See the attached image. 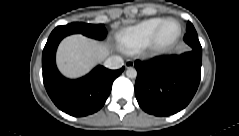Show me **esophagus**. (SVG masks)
Returning <instances> with one entry per match:
<instances>
[{
  "mask_svg": "<svg viewBox=\"0 0 239 136\" xmlns=\"http://www.w3.org/2000/svg\"><path fill=\"white\" fill-rule=\"evenodd\" d=\"M132 66H134V62L132 60H127L126 63H125V67L129 68V67H132Z\"/></svg>",
  "mask_w": 239,
  "mask_h": 136,
  "instance_id": "obj_1",
  "label": "esophagus"
}]
</instances>
